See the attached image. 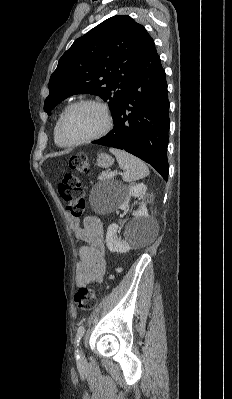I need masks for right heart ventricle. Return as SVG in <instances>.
Masks as SVG:
<instances>
[{
  "instance_id": "e07e8e85",
  "label": "right heart ventricle",
  "mask_w": 232,
  "mask_h": 399,
  "mask_svg": "<svg viewBox=\"0 0 232 399\" xmlns=\"http://www.w3.org/2000/svg\"><path fill=\"white\" fill-rule=\"evenodd\" d=\"M67 107H68V106H64V107L60 110V112H59V114H58V116H57V118H56V120H55L54 127H53L54 142H55V144H56L58 147H60V148H62V149H69V148L73 147V145H71L70 143H68V142L62 137V135H61V133H60V130H59L60 118H61L63 112L65 111V109H66Z\"/></svg>"
}]
</instances>
